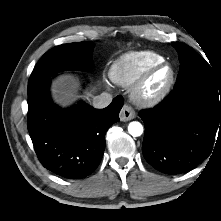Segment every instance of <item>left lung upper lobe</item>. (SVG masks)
<instances>
[{"label": "left lung upper lobe", "mask_w": 221, "mask_h": 221, "mask_svg": "<svg viewBox=\"0 0 221 221\" xmlns=\"http://www.w3.org/2000/svg\"><path fill=\"white\" fill-rule=\"evenodd\" d=\"M180 61V70L174 88L200 85L221 95V75L215 74L209 64L189 46L173 42Z\"/></svg>", "instance_id": "1"}]
</instances>
